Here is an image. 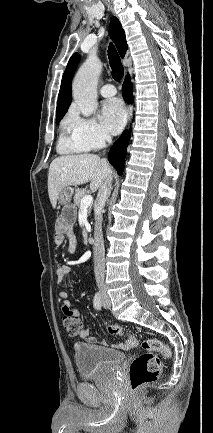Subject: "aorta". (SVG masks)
<instances>
[{"mask_svg":"<svg viewBox=\"0 0 213 433\" xmlns=\"http://www.w3.org/2000/svg\"><path fill=\"white\" fill-rule=\"evenodd\" d=\"M101 70V61L90 54L74 78L73 98L85 117L92 115L98 107L97 82Z\"/></svg>","mask_w":213,"mask_h":433,"instance_id":"1","label":"aorta"}]
</instances>
